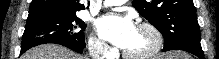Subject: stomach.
Segmentation results:
<instances>
[{"instance_id":"1","label":"stomach","mask_w":219,"mask_h":59,"mask_svg":"<svg viewBox=\"0 0 219 59\" xmlns=\"http://www.w3.org/2000/svg\"><path fill=\"white\" fill-rule=\"evenodd\" d=\"M168 57H173V54L168 55Z\"/></svg>"}]
</instances>
